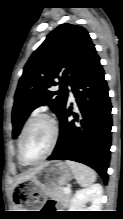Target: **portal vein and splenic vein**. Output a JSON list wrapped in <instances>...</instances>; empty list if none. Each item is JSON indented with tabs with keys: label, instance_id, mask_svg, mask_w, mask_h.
<instances>
[{
	"label": "portal vein and splenic vein",
	"instance_id": "portal-vein-and-splenic-vein-1",
	"mask_svg": "<svg viewBox=\"0 0 123 219\" xmlns=\"http://www.w3.org/2000/svg\"><path fill=\"white\" fill-rule=\"evenodd\" d=\"M71 192V189L69 187L64 188V193L69 194Z\"/></svg>",
	"mask_w": 123,
	"mask_h": 219
}]
</instances>
